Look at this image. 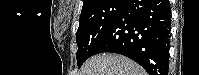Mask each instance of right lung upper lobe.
I'll list each match as a JSON object with an SVG mask.
<instances>
[{"instance_id": "right-lung-upper-lobe-1", "label": "right lung upper lobe", "mask_w": 199, "mask_h": 75, "mask_svg": "<svg viewBox=\"0 0 199 75\" xmlns=\"http://www.w3.org/2000/svg\"><path fill=\"white\" fill-rule=\"evenodd\" d=\"M104 0H83V7L82 9L97 5L101 2H103Z\"/></svg>"}]
</instances>
